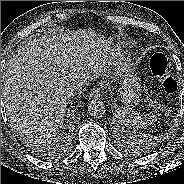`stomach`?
Here are the masks:
<instances>
[{"mask_svg": "<svg viewBox=\"0 0 184 184\" xmlns=\"http://www.w3.org/2000/svg\"><path fill=\"white\" fill-rule=\"evenodd\" d=\"M130 85H132L133 88H137V87H138V82H136V81L133 80V79H130Z\"/></svg>", "mask_w": 184, "mask_h": 184, "instance_id": "1", "label": "stomach"}]
</instances>
